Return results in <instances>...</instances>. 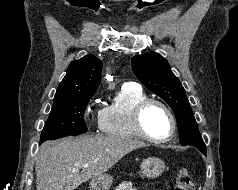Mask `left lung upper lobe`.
Returning <instances> with one entry per match:
<instances>
[{"label":"left lung upper lobe","instance_id":"1","mask_svg":"<svg viewBox=\"0 0 238 190\" xmlns=\"http://www.w3.org/2000/svg\"><path fill=\"white\" fill-rule=\"evenodd\" d=\"M132 69L139 80L153 93L160 96L174 111L181 145H192L206 154L195 117L185 90L173 74L167 60L157 53L134 56Z\"/></svg>","mask_w":238,"mask_h":190}]
</instances>
